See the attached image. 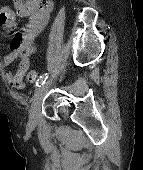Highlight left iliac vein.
Masks as SVG:
<instances>
[{
    "instance_id": "1",
    "label": "left iliac vein",
    "mask_w": 143,
    "mask_h": 170,
    "mask_svg": "<svg viewBox=\"0 0 143 170\" xmlns=\"http://www.w3.org/2000/svg\"><path fill=\"white\" fill-rule=\"evenodd\" d=\"M50 85H51V81L39 87V89L37 90L33 98L31 108H30V113H29V125L31 126H35L38 123L42 100L45 94L47 93Z\"/></svg>"
}]
</instances>
